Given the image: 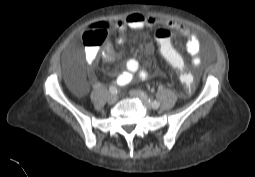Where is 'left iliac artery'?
I'll return each instance as SVG.
<instances>
[{"instance_id":"obj_1","label":"left iliac artery","mask_w":255,"mask_h":177,"mask_svg":"<svg viewBox=\"0 0 255 177\" xmlns=\"http://www.w3.org/2000/svg\"><path fill=\"white\" fill-rule=\"evenodd\" d=\"M141 93L147 98V95L144 92L141 91ZM148 101L150 102V104L152 105L154 109L160 106V103L158 101H151L150 99H148Z\"/></svg>"}]
</instances>
